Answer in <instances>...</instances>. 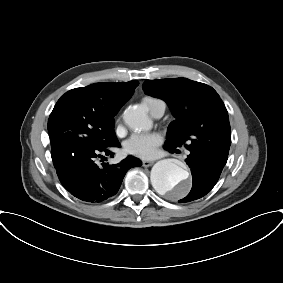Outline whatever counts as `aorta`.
Masks as SVG:
<instances>
[{
    "label": "aorta",
    "mask_w": 283,
    "mask_h": 283,
    "mask_svg": "<svg viewBox=\"0 0 283 283\" xmlns=\"http://www.w3.org/2000/svg\"><path fill=\"white\" fill-rule=\"evenodd\" d=\"M123 119L133 130L149 129L151 121L140 107H129L123 113ZM151 183L162 195L174 198L185 196L190 188L189 173L172 159L158 161L151 170Z\"/></svg>",
    "instance_id": "762f6f07"
}]
</instances>
